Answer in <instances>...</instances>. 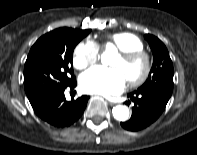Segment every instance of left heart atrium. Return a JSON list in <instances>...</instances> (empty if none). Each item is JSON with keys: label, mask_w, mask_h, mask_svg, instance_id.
<instances>
[{"label": "left heart atrium", "mask_w": 197, "mask_h": 155, "mask_svg": "<svg viewBox=\"0 0 197 155\" xmlns=\"http://www.w3.org/2000/svg\"><path fill=\"white\" fill-rule=\"evenodd\" d=\"M79 85L85 93L110 96L123 91L126 78L117 68L96 66L80 76Z\"/></svg>", "instance_id": "39dd6f15"}]
</instances>
